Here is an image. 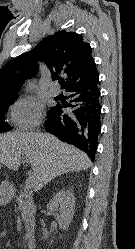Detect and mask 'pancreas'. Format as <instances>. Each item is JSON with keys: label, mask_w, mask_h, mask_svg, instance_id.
Wrapping results in <instances>:
<instances>
[{"label": "pancreas", "mask_w": 135, "mask_h": 249, "mask_svg": "<svg viewBox=\"0 0 135 249\" xmlns=\"http://www.w3.org/2000/svg\"><path fill=\"white\" fill-rule=\"evenodd\" d=\"M19 207L18 209L21 210L22 217L25 221L33 218V214L35 212V207L32 201L24 199V197L20 194L19 197L16 199Z\"/></svg>", "instance_id": "cf45deb5"}]
</instances>
